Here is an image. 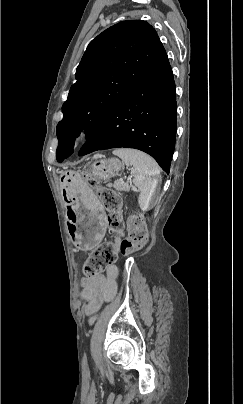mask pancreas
Returning <instances> with one entry per match:
<instances>
[{"label":"pancreas","instance_id":"1","mask_svg":"<svg viewBox=\"0 0 243 404\" xmlns=\"http://www.w3.org/2000/svg\"><path fill=\"white\" fill-rule=\"evenodd\" d=\"M111 186H113L115 190H119V192H130L128 184H123V182H114Z\"/></svg>","mask_w":243,"mask_h":404}]
</instances>
